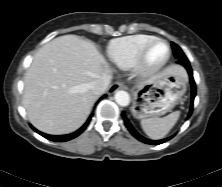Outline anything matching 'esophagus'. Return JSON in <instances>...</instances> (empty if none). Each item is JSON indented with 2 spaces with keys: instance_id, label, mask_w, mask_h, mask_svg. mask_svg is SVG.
Segmentation results:
<instances>
[{
  "instance_id": "esophagus-1",
  "label": "esophagus",
  "mask_w": 222,
  "mask_h": 187,
  "mask_svg": "<svg viewBox=\"0 0 222 187\" xmlns=\"http://www.w3.org/2000/svg\"><path fill=\"white\" fill-rule=\"evenodd\" d=\"M121 88H125V86L121 83V82H115L114 84H112V86L110 87L109 91L111 93L121 89Z\"/></svg>"
}]
</instances>
